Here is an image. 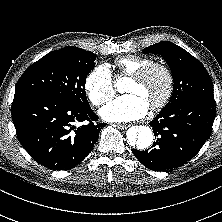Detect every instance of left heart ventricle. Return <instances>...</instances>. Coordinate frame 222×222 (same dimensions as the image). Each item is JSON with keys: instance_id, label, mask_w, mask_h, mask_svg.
<instances>
[{"instance_id": "left-heart-ventricle-1", "label": "left heart ventricle", "mask_w": 222, "mask_h": 222, "mask_svg": "<svg viewBox=\"0 0 222 222\" xmlns=\"http://www.w3.org/2000/svg\"><path fill=\"white\" fill-rule=\"evenodd\" d=\"M165 89L166 77L162 71L156 70L142 82L130 80L126 91L139 95L150 107L160 100Z\"/></svg>"}]
</instances>
